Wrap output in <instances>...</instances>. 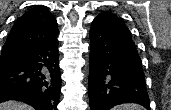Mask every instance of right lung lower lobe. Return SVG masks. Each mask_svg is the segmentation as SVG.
<instances>
[{
  "label": "right lung lower lobe",
  "instance_id": "1",
  "mask_svg": "<svg viewBox=\"0 0 171 110\" xmlns=\"http://www.w3.org/2000/svg\"><path fill=\"white\" fill-rule=\"evenodd\" d=\"M57 36L23 53L18 64L0 70V103L15 99L36 110H57L61 90Z\"/></svg>",
  "mask_w": 171,
  "mask_h": 110
}]
</instances>
